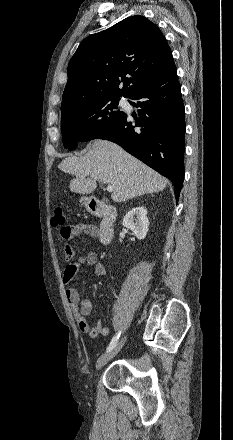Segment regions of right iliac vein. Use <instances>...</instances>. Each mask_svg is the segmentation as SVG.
I'll list each match as a JSON object with an SVG mask.
<instances>
[{"label": "right iliac vein", "instance_id": "1", "mask_svg": "<svg viewBox=\"0 0 233 440\" xmlns=\"http://www.w3.org/2000/svg\"><path fill=\"white\" fill-rule=\"evenodd\" d=\"M125 341H126V337L122 338L121 341H119L113 349H111L107 353L103 354L96 362V369L98 370V369L102 368L113 357H115L118 354V352L122 349Z\"/></svg>", "mask_w": 233, "mask_h": 440}]
</instances>
